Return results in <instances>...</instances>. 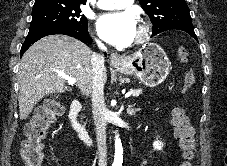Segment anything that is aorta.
<instances>
[{
  "label": "aorta",
  "mask_w": 227,
  "mask_h": 166,
  "mask_svg": "<svg viewBox=\"0 0 227 166\" xmlns=\"http://www.w3.org/2000/svg\"><path fill=\"white\" fill-rule=\"evenodd\" d=\"M123 162V147L118 136L115 139V156L113 166H121Z\"/></svg>",
  "instance_id": "obj_1"
}]
</instances>
